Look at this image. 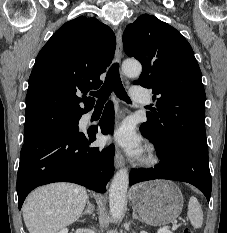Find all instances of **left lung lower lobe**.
Instances as JSON below:
<instances>
[{
  "instance_id": "1",
  "label": "left lung lower lobe",
  "mask_w": 227,
  "mask_h": 233,
  "mask_svg": "<svg viewBox=\"0 0 227 233\" xmlns=\"http://www.w3.org/2000/svg\"><path fill=\"white\" fill-rule=\"evenodd\" d=\"M156 150L160 163L150 169H132L130 185L154 179L187 182L201 190L209 202L212 179L207 150L187 142L174 143L165 151Z\"/></svg>"
}]
</instances>
